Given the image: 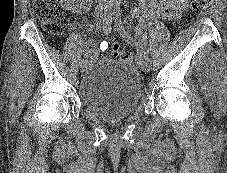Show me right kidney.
<instances>
[{
  "label": "right kidney",
  "instance_id": "1",
  "mask_svg": "<svg viewBox=\"0 0 227 173\" xmlns=\"http://www.w3.org/2000/svg\"><path fill=\"white\" fill-rule=\"evenodd\" d=\"M77 1L79 0H60V3L63 7H66V8H72V7L75 8L74 3Z\"/></svg>",
  "mask_w": 227,
  "mask_h": 173
}]
</instances>
